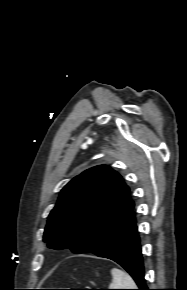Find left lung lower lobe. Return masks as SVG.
I'll return each instance as SVG.
<instances>
[{"instance_id": "0a47b994", "label": "left lung lower lobe", "mask_w": 187, "mask_h": 290, "mask_svg": "<svg viewBox=\"0 0 187 290\" xmlns=\"http://www.w3.org/2000/svg\"><path fill=\"white\" fill-rule=\"evenodd\" d=\"M134 204L127 215L92 253L121 265L135 280L139 290H149L144 279V265L137 232Z\"/></svg>"}]
</instances>
